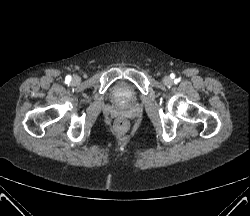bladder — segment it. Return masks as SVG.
Returning a JSON list of instances; mask_svg holds the SVG:
<instances>
[{
	"instance_id": "bladder-1",
	"label": "bladder",
	"mask_w": 250,
	"mask_h": 216,
	"mask_svg": "<svg viewBox=\"0 0 250 216\" xmlns=\"http://www.w3.org/2000/svg\"><path fill=\"white\" fill-rule=\"evenodd\" d=\"M114 97L119 102H128L133 98L130 88L123 82L118 83L113 90Z\"/></svg>"
}]
</instances>
